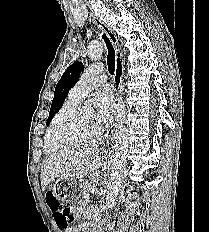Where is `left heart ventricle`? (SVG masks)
I'll list each match as a JSON object with an SVG mask.
<instances>
[{"label":"left heart ventricle","mask_w":209,"mask_h":232,"mask_svg":"<svg viewBox=\"0 0 209 232\" xmlns=\"http://www.w3.org/2000/svg\"><path fill=\"white\" fill-rule=\"evenodd\" d=\"M98 127L99 122L96 120L95 112L86 107L77 118L59 128V131L68 132L72 135H84L92 133Z\"/></svg>","instance_id":"obj_1"}]
</instances>
